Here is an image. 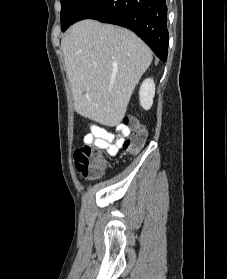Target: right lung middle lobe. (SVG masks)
Segmentation results:
<instances>
[{"mask_svg":"<svg viewBox=\"0 0 227 279\" xmlns=\"http://www.w3.org/2000/svg\"><path fill=\"white\" fill-rule=\"evenodd\" d=\"M61 1V28L66 30L72 23L75 14L84 0H60Z\"/></svg>","mask_w":227,"mask_h":279,"instance_id":"dd1d6c3e","label":"right lung middle lobe"}]
</instances>
